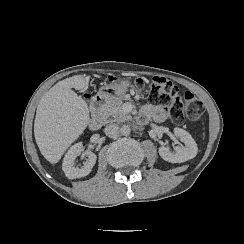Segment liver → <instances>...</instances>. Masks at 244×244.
<instances>
[{"label": "liver", "instance_id": "obj_1", "mask_svg": "<svg viewBox=\"0 0 244 244\" xmlns=\"http://www.w3.org/2000/svg\"><path fill=\"white\" fill-rule=\"evenodd\" d=\"M92 87L81 74L60 80L40 99L34 119V138L41 155L52 165L60 162L68 148L91 123L90 109L79 92Z\"/></svg>", "mask_w": 244, "mask_h": 244}]
</instances>
